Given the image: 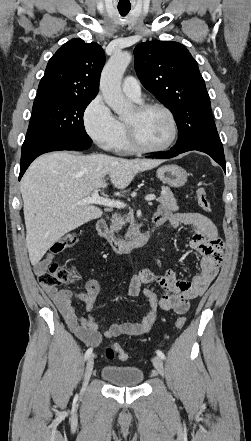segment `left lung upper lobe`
<instances>
[{
  "label": "left lung upper lobe",
  "mask_w": 251,
  "mask_h": 441,
  "mask_svg": "<svg viewBox=\"0 0 251 441\" xmlns=\"http://www.w3.org/2000/svg\"><path fill=\"white\" fill-rule=\"evenodd\" d=\"M142 85L173 113L178 129L212 116L210 98L196 60L178 42L149 41L135 47Z\"/></svg>",
  "instance_id": "1"
}]
</instances>
